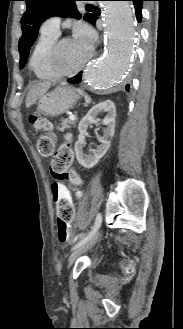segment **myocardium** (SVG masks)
<instances>
[{"label":"myocardium","mask_w":183,"mask_h":329,"mask_svg":"<svg viewBox=\"0 0 183 329\" xmlns=\"http://www.w3.org/2000/svg\"><path fill=\"white\" fill-rule=\"evenodd\" d=\"M68 39H70V38L62 37V38L57 39L49 52L48 67H49L52 75L55 78L68 77V76H72V75L79 73L80 71H82L85 68V66L88 64V62L91 60V58L93 56L92 52H89L86 60L81 65H79L78 67H76L74 69H71L68 71L59 69L61 47H62V44Z\"/></svg>","instance_id":"1"}]
</instances>
